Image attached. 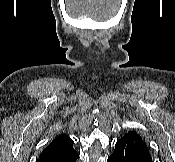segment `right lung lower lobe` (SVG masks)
I'll use <instances>...</instances> for the list:
<instances>
[{
	"label": "right lung lower lobe",
	"instance_id": "obj_1",
	"mask_svg": "<svg viewBox=\"0 0 175 162\" xmlns=\"http://www.w3.org/2000/svg\"><path fill=\"white\" fill-rule=\"evenodd\" d=\"M79 154L74 148L44 152L40 155L38 162H76Z\"/></svg>",
	"mask_w": 175,
	"mask_h": 162
}]
</instances>
